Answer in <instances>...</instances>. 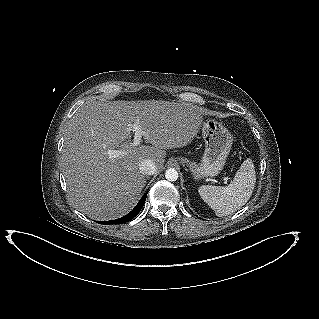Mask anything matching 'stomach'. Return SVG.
<instances>
[{
    "mask_svg": "<svg viewBox=\"0 0 319 319\" xmlns=\"http://www.w3.org/2000/svg\"><path fill=\"white\" fill-rule=\"evenodd\" d=\"M201 130L205 142V152L201 163L196 164L183 157L176 160L184 166L188 165L195 179L217 176L225 165L233 143L229 130L215 119L203 120Z\"/></svg>",
    "mask_w": 319,
    "mask_h": 319,
    "instance_id": "stomach-1",
    "label": "stomach"
}]
</instances>
